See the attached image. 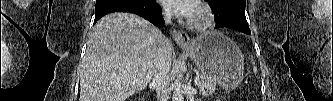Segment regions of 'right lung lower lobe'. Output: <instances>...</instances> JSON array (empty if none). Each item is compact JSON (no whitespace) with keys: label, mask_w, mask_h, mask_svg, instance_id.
I'll list each match as a JSON object with an SVG mask.
<instances>
[{"label":"right lung lower lobe","mask_w":333,"mask_h":101,"mask_svg":"<svg viewBox=\"0 0 333 101\" xmlns=\"http://www.w3.org/2000/svg\"><path fill=\"white\" fill-rule=\"evenodd\" d=\"M112 12H129L137 14L156 26H163L161 7L155 0H97L95 5V20Z\"/></svg>","instance_id":"right-lung-lower-lobe-1"}]
</instances>
